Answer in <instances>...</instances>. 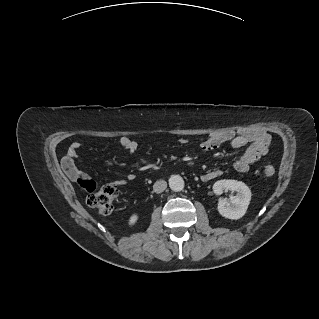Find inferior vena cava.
<instances>
[{
    "mask_svg": "<svg viewBox=\"0 0 319 319\" xmlns=\"http://www.w3.org/2000/svg\"><path fill=\"white\" fill-rule=\"evenodd\" d=\"M167 188V182L164 180H158L153 185L155 193H162Z\"/></svg>",
    "mask_w": 319,
    "mask_h": 319,
    "instance_id": "602c4592",
    "label": "inferior vena cava"
}]
</instances>
